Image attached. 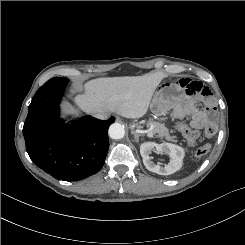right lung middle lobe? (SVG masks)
Returning <instances> with one entry per match:
<instances>
[{
  "mask_svg": "<svg viewBox=\"0 0 245 245\" xmlns=\"http://www.w3.org/2000/svg\"><path fill=\"white\" fill-rule=\"evenodd\" d=\"M53 79V78H52ZM56 79H61V80H63V79H67V78H58V77H56Z\"/></svg>",
  "mask_w": 245,
  "mask_h": 245,
  "instance_id": "obj_1",
  "label": "right lung middle lobe"
}]
</instances>
